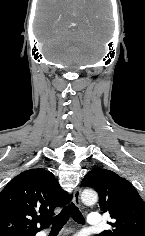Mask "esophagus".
<instances>
[{
    "instance_id": "obj_1",
    "label": "esophagus",
    "mask_w": 145,
    "mask_h": 236,
    "mask_svg": "<svg viewBox=\"0 0 145 236\" xmlns=\"http://www.w3.org/2000/svg\"><path fill=\"white\" fill-rule=\"evenodd\" d=\"M80 195H81V189L78 187L75 189L74 194H73V202L78 207L81 206Z\"/></svg>"
}]
</instances>
